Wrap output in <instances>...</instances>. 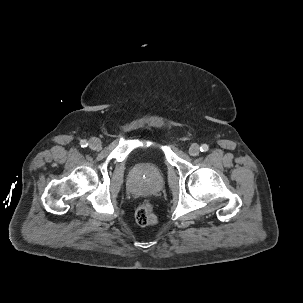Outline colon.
<instances>
[{
    "label": "colon",
    "mask_w": 303,
    "mask_h": 303,
    "mask_svg": "<svg viewBox=\"0 0 303 303\" xmlns=\"http://www.w3.org/2000/svg\"><path fill=\"white\" fill-rule=\"evenodd\" d=\"M136 222L140 226H153L157 223V217L153 211L150 201H143L136 209L135 212Z\"/></svg>",
    "instance_id": "5ec220e1"
}]
</instances>
